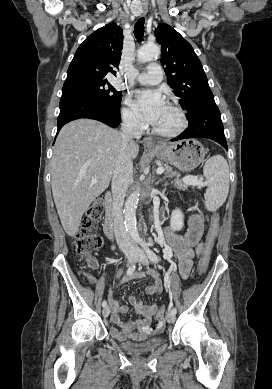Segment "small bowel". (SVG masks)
<instances>
[{"instance_id": "obj_1", "label": "small bowel", "mask_w": 272, "mask_h": 389, "mask_svg": "<svg viewBox=\"0 0 272 389\" xmlns=\"http://www.w3.org/2000/svg\"><path fill=\"white\" fill-rule=\"evenodd\" d=\"M203 221L198 212L191 214L188 220V227L183 235L177 234L172 230H167L166 241L168 244L167 256L174 255L178 261V269L182 278H187L193 265L195 255H200L203 251L202 235ZM87 263L92 269L98 268V263L93 258H88ZM121 270L116 272V279L119 280ZM151 276L154 279L153 284L148 289V294L154 295L161 293L163 289L161 274L154 269L146 272H139L133 275L134 278L144 279ZM110 305L112 308V321L120 326L121 330L111 328V334L117 340L132 339L141 341L150 337L154 329L151 325L152 318L157 311V305H147L138 300L135 296L129 298V303L135 311L141 316L132 324L137 327V331L131 330L129 324L124 321L121 316L128 311L124 305H119L113 297H110Z\"/></svg>"}]
</instances>
